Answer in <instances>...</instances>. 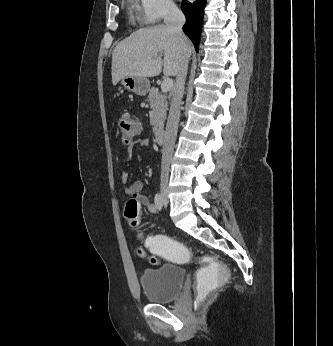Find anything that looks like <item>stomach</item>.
Here are the masks:
<instances>
[{"instance_id":"stomach-1","label":"stomach","mask_w":333,"mask_h":346,"mask_svg":"<svg viewBox=\"0 0 333 346\" xmlns=\"http://www.w3.org/2000/svg\"><path fill=\"white\" fill-rule=\"evenodd\" d=\"M120 83L125 89L140 96H145L150 89L149 80L143 77L126 76L120 80Z\"/></svg>"}]
</instances>
